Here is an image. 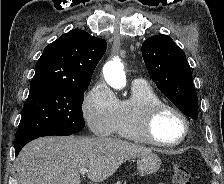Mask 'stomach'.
<instances>
[{"label":"stomach","mask_w":224,"mask_h":184,"mask_svg":"<svg viewBox=\"0 0 224 184\" xmlns=\"http://www.w3.org/2000/svg\"><path fill=\"white\" fill-rule=\"evenodd\" d=\"M161 159L157 154L149 153L139 156L137 159V170L141 175H150L159 170Z\"/></svg>","instance_id":"obj_1"}]
</instances>
